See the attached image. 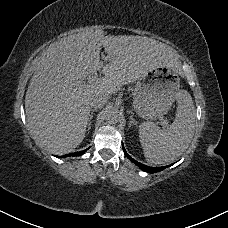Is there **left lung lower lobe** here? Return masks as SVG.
<instances>
[{
  "label": "left lung lower lobe",
  "instance_id": "obj_1",
  "mask_svg": "<svg viewBox=\"0 0 228 228\" xmlns=\"http://www.w3.org/2000/svg\"><path fill=\"white\" fill-rule=\"evenodd\" d=\"M123 150H124V153L125 155L131 160L133 161L136 165H138V167L148 173H156V172H159V171H162L164 170L165 168L171 166H165V167H150V166H147V165H144L142 163H138L136 160H134L133 158H131L125 151L124 147H123Z\"/></svg>",
  "mask_w": 228,
  "mask_h": 228
}]
</instances>
